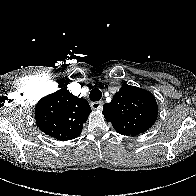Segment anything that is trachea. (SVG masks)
Returning <instances> with one entry per match:
<instances>
[{
    "label": "trachea",
    "instance_id": "1",
    "mask_svg": "<svg viewBox=\"0 0 196 196\" xmlns=\"http://www.w3.org/2000/svg\"><path fill=\"white\" fill-rule=\"evenodd\" d=\"M89 97L91 101L97 102L101 99L102 93L98 88H94L91 90Z\"/></svg>",
    "mask_w": 196,
    "mask_h": 196
}]
</instances>
